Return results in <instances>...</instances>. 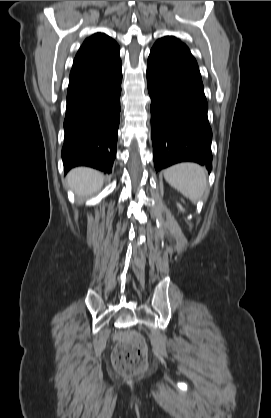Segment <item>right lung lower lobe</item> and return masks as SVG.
Segmentation results:
<instances>
[{
    "mask_svg": "<svg viewBox=\"0 0 271 418\" xmlns=\"http://www.w3.org/2000/svg\"><path fill=\"white\" fill-rule=\"evenodd\" d=\"M121 60L67 93L62 158L65 172L90 166L112 169L118 138Z\"/></svg>",
    "mask_w": 271,
    "mask_h": 418,
    "instance_id": "98d812e1",
    "label": "right lung lower lobe"
}]
</instances>
